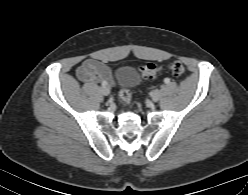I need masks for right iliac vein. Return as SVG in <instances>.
<instances>
[{
	"instance_id": "right-iliac-vein-1",
	"label": "right iliac vein",
	"mask_w": 248,
	"mask_h": 195,
	"mask_svg": "<svg viewBox=\"0 0 248 195\" xmlns=\"http://www.w3.org/2000/svg\"><path fill=\"white\" fill-rule=\"evenodd\" d=\"M100 90H101V93L105 96L110 94V88L108 86H102Z\"/></svg>"
}]
</instances>
